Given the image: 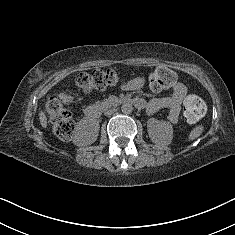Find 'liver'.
I'll use <instances>...</instances> for the list:
<instances>
[{
	"label": "liver",
	"mask_w": 235,
	"mask_h": 235,
	"mask_svg": "<svg viewBox=\"0 0 235 235\" xmlns=\"http://www.w3.org/2000/svg\"><path fill=\"white\" fill-rule=\"evenodd\" d=\"M40 121L42 123L43 127H46L47 125V118L43 112H40Z\"/></svg>",
	"instance_id": "1"
}]
</instances>
